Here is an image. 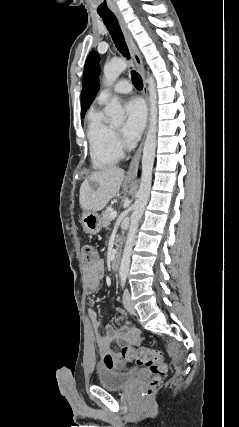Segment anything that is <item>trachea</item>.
Instances as JSON below:
<instances>
[{"mask_svg": "<svg viewBox=\"0 0 239 427\" xmlns=\"http://www.w3.org/2000/svg\"><path fill=\"white\" fill-rule=\"evenodd\" d=\"M101 18H102L105 26L107 27L118 51L124 57L129 59L130 54H129L123 33L121 31V28L119 26V23H118L115 15L114 14L104 15V16H101ZM131 74H132V81H133L134 86L137 89L141 90L143 88V80H142L141 76L135 71H131Z\"/></svg>", "mask_w": 239, "mask_h": 427, "instance_id": "trachea-1", "label": "trachea"}]
</instances>
